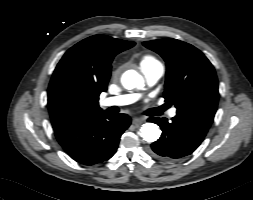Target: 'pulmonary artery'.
<instances>
[{"mask_svg": "<svg viewBox=\"0 0 253 200\" xmlns=\"http://www.w3.org/2000/svg\"><path fill=\"white\" fill-rule=\"evenodd\" d=\"M140 69L146 79V82L150 86L154 85L164 73V67L158 61L141 63ZM140 96L141 95L138 93H132L108 97L101 101V105L103 107L129 105L137 101L140 98ZM176 112H177L176 108H172L169 110L168 115L170 117H175Z\"/></svg>", "mask_w": 253, "mask_h": 200, "instance_id": "pulmonary-artery-1", "label": "pulmonary artery"}]
</instances>
